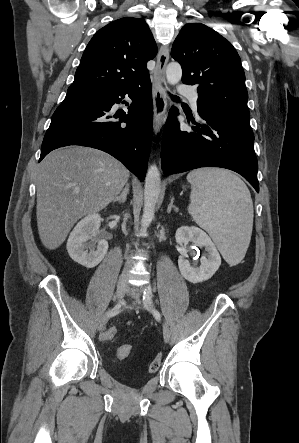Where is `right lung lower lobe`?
I'll list each match as a JSON object with an SVG mask.
<instances>
[{"label": "right lung lower lobe", "mask_w": 299, "mask_h": 443, "mask_svg": "<svg viewBox=\"0 0 299 443\" xmlns=\"http://www.w3.org/2000/svg\"><path fill=\"white\" fill-rule=\"evenodd\" d=\"M126 94L133 100L128 113H112V106L120 103ZM152 127L150 78L131 86L100 91L97 96H66L52 116L39 161L59 147L87 146L114 156L143 181Z\"/></svg>", "instance_id": "1"}]
</instances>
